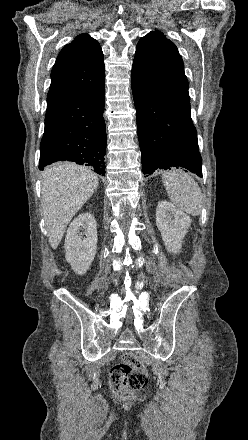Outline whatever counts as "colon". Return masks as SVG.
Returning <instances> with one entry per match:
<instances>
[{"mask_svg": "<svg viewBox=\"0 0 248 440\" xmlns=\"http://www.w3.org/2000/svg\"><path fill=\"white\" fill-rule=\"evenodd\" d=\"M109 377L113 393L121 399L130 398L148 383L147 370L132 352L126 353L123 361L112 367Z\"/></svg>", "mask_w": 248, "mask_h": 440, "instance_id": "colon-1", "label": "colon"}]
</instances>
